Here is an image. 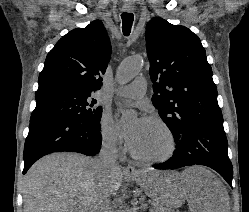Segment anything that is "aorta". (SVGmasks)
I'll list each match as a JSON object with an SVG mask.
<instances>
[{
    "label": "aorta",
    "instance_id": "1",
    "mask_svg": "<svg viewBox=\"0 0 249 212\" xmlns=\"http://www.w3.org/2000/svg\"><path fill=\"white\" fill-rule=\"evenodd\" d=\"M143 66V58L140 56L129 57L121 62L118 67L116 79L119 84H125L138 75ZM135 112L132 110H122L123 118L133 117Z\"/></svg>",
    "mask_w": 249,
    "mask_h": 212
}]
</instances>
